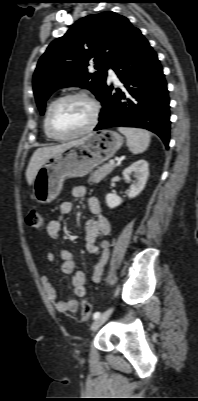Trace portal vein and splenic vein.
Here are the masks:
<instances>
[{"label":"portal vein and splenic vein","instance_id":"portal-vein-and-splenic-vein-1","mask_svg":"<svg viewBox=\"0 0 198 401\" xmlns=\"http://www.w3.org/2000/svg\"><path fill=\"white\" fill-rule=\"evenodd\" d=\"M110 164H111V165H114V164H115V161H114V160H110Z\"/></svg>","mask_w":198,"mask_h":401}]
</instances>
